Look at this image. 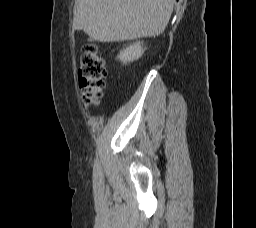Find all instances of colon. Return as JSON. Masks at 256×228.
I'll list each match as a JSON object with an SVG mask.
<instances>
[{"label":"colon","instance_id":"obj_1","mask_svg":"<svg viewBox=\"0 0 256 228\" xmlns=\"http://www.w3.org/2000/svg\"><path fill=\"white\" fill-rule=\"evenodd\" d=\"M106 68L99 47L92 41L84 44L81 55L78 84L84 104L99 103L105 86Z\"/></svg>","mask_w":256,"mask_h":228}]
</instances>
